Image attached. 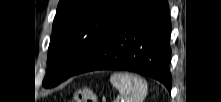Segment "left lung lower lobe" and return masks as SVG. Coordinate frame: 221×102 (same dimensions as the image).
I'll return each instance as SVG.
<instances>
[{
  "mask_svg": "<svg viewBox=\"0 0 221 102\" xmlns=\"http://www.w3.org/2000/svg\"><path fill=\"white\" fill-rule=\"evenodd\" d=\"M170 34L166 0H133L73 75L129 70L159 80L170 92Z\"/></svg>",
  "mask_w": 221,
  "mask_h": 102,
  "instance_id": "1",
  "label": "left lung lower lobe"
}]
</instances>
